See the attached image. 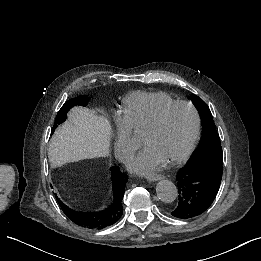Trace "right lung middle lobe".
<instances>
[{"label":"right lung middle lobe","mask_w":261,"mask_h":261,"mask_svg":"<svg viewBox=\"0 0 261 261\" xmlns=\"http://www.w3.org/2000/svg\"><path fill=\"white\" fill-rule=\"evenodd\" d=\"M88 100H89V98L87 96H79L77 98H73V99L67 101L61 107V109L59 110V112L56 116L55 123L52 128V132H54V129L57 127L58 124L65 121L67 112L70 108H72L73 106H76V105L86 106L88 103Z\"/></svg>","instance_id":"dd1d6c3e"}]
</instances>
